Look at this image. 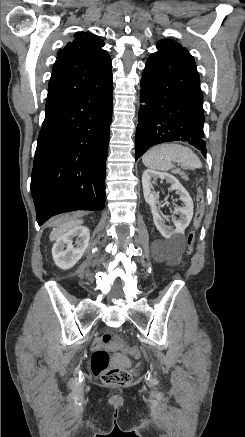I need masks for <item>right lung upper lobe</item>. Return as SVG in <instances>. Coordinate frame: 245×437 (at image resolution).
I'll list each match as a JSON object with an SVG mask.
<instances>
[{
	"label": "right lung upper lobe",
	"instance_id": "obj_1",
	"mask_svg": "<svg viewBox=\"0 0 245 437\" xmlns=\"http://www.w3.org/2000/svg\"><path fill=\"white\" fill-rule=\"evenodd\" d=\"M103 46V40L81 31L58 51L46 105L91 92L112 78L111 59Z\"/></svg>",
	"mask_w": 245,
	"mask_h": 437
}]
</instances>
